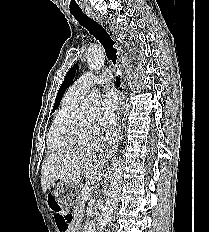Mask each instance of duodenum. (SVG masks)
Listing matches in <instances>:
<instances>
[{
	"mask_svg": "<svg viewBox=\"0 0 209 232\" xmlns=\"http://www.w3.org/2000/svg\"><path fill=\"white\" fill-rule=\"evenodd\" d=\"M90 232H96V227L94 224L90 225Z\"/></svg>",
	"mask_w": 209,
	"mask_h": 232,
	"instance_id": "duodenum-1",
	"label": "duodenum"
}]
</instances>
